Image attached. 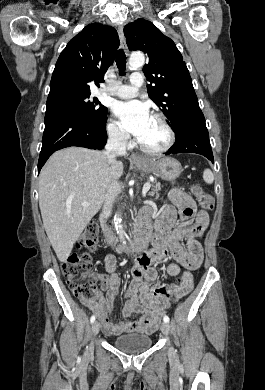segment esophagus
Listing matches in <instances>:
<instances>
[{"label": "esophagus", "mask_w": 265, "mask_h": 390, "mask_svg": "<svg viewBox=\"0 0 265 390\" xmlns=\"http://www.w3.org/2000/svg\"><path fill=\"white\" fill-rule=\"evenodd\" d=\"M118 34H119V39H120V45H121V48L124 50V52L128 55L129 54V50H128V47H127V44H126V39H125V36H124V33H123V28L122 26H119L118 27ZM130 160L132 162H143V159L135 154H132L130 156Z\"/></svg>", "instance_id": "1"}]
</instances>
